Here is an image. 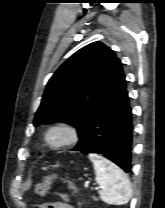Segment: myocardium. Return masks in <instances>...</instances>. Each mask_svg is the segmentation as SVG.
<instances>
[{
    "label": "myocardium",
    "instance_id": "myocardium-1",
    "mask_svg": "<svg viewBox=\"0 0 165 208\" xmlns=\"http://www.w3.org/2000/svg\"><path fill=\"white\" fill-rule=\"evenodd\" d=\"M54 133H61L59 141L51 142L50 136ZM80 140L79 129L69 122H55L47 127L43 134L44 145L51 150H60L76 144Z\"/></svg>",
    "mask_w": 165,
    "mask_h": 208
}]
</instances>
